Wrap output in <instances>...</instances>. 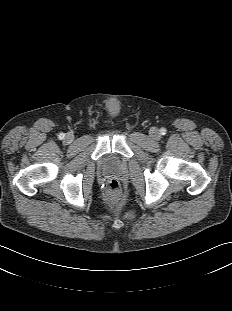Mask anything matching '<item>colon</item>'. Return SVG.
I'll use <instances>...</instances> for the list:
<instances>
[{"mask_svg":"<svg viewBox=\"0 0 232 311\" xmlns=\"http://www.w3.org/2000/svg\"><path fill=\"white\" fill-rule=\"evenodd\" d=\"M107 193L112 200H118L121 195V187L119 182L116 180L109 181L107 184Z\"/></svg>","mask_w":232,"mask_h":311,"instance_id":"obj_1","label":"colon"}]
</instances>
